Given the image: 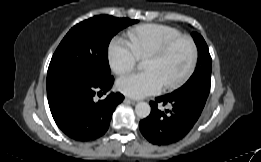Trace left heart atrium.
I'll return each instance as SVG.
<instances>
[{
    "instance_id": "39dd6f15",
    "label": "left heart atrium",
    "mask_w": 261,
    "mask_h": 162,
    "mask_svg": "<svg viewBox=\"0 0 261 162\" xmlns=\"http://www.w3.org/2000/svg\"><path fill=\"white\" fill-rule=\"evenodd\" d=\"M164 86L161 76L155 70L126 75L117 81L118 90L132 98L158 94Z\"/></svg>"
}]
</instances>
